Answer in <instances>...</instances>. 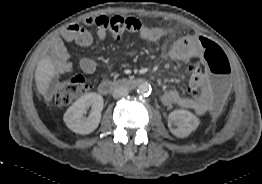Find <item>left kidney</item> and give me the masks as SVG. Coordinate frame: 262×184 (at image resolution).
<instances>
[{
    "instance_id": "left-kidney-1",
    "label": "left kidney",
    "mask_w": 262,
    "mask_h": 184,
    "mask_svg": "<svg viewBox=\"0 0 262 184\" xmlns=\"http://www.w3.org/2000/svg\"><path fill=\"white\" fill-rule=\"evenodd\" d=\"M199 126V119L190 111L177 109L168 116L170 132L179 138H185Z\"/></svg>"
}]
</instances>
